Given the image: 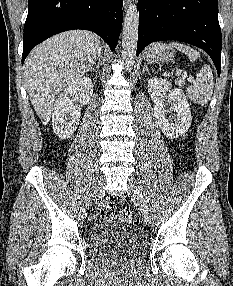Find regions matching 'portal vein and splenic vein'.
Instances as JSON below:
<instances>
[{"instance_id": "18ae733b", "label": "portal vein and splenic vein", "mask_w": 233, "mask_h": 286, "mask_svg": "<svg viewBox=\"0 0 233 286\" xmlns=\"http://www.w3.org/2000/svg\"><path fill=\"white\" fill-rule=\"evenodd\" d=\"M176 75H177V76L182 75V77L187 78V81H190V82L192 81V79L187 76V73H186V72L182 73L181 70H177V71H176Z\"/></svg>"}]
</instances>
